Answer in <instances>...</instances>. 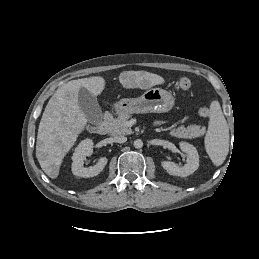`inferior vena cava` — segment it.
<instances>
[{"label":"inferior vena cava","instance_id":"inferior-vena-cava-1","mask_svg":"<svg viewBox=\"0 0 259 259\" xmlns=\"http://www.w3.org/2000/svg\"><path fill=\"white\" fill-rule=\"evenodd\" d=\"M113 140L116 143H125L127 141V137H125V136H115L113 138Z\"/></svg>","mask_w":259,"mask_h":259}]
</instances>
